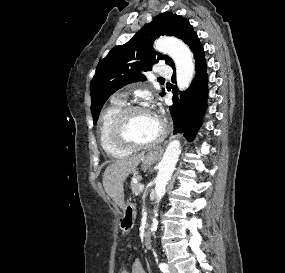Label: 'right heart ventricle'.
I'll return each mask as SVG.
<instances>
[{
  "label": "right heart ventricle",
  "instance_id": "e07e8e85",
  "mask_svg": "<svg viewBox=\"0 0 285 273\" xmlns=\"http://www.w3.org/2000/svg\"><path fill=\"white\" fill-rule=\"evenodd\" d=\"M123 107L124 103L122 101H112L111 104L103 110L98 127L99 140L102 149L109 156L116 158L124 157L130 153L129 150L117 146L111 135L113 122Z\"/></svg>",
  "mask_w": 285,
  "mask_h": 273
}]
</instances>
